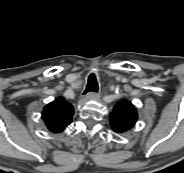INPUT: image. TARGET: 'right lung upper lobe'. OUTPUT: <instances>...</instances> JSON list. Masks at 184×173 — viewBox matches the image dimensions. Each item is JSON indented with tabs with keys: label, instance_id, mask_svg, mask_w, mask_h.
<instances>
[{
	"label": "right lung upper lobe",
	"instance_id": "right-lung-upper-lobe-1",
	"mask_svg": "<svg viewBox=\"0 0 184 173\" xmlns=\"http://www.w3.org/2000/svg\"><path fill=\"white\" fill-rule=\"evenodd\" d=\"M73 114L72 105L59 97L45 106L42 118L51 132L60 133L71 123Z\"/></svg>",
	"mask_w": 184,
	"mask_h": 173
}]
</instances>
